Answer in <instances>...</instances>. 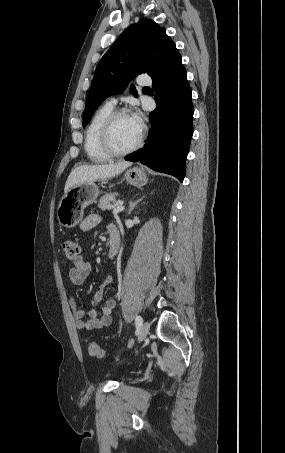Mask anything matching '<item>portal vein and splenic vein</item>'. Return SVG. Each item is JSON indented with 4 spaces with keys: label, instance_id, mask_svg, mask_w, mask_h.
I'll return each mask as SVG.
<instances>
[{
    "label": "portal vein and splenic vein",
    "instance_id": "obj_1",
    "mask_svg": "<svg viewBox=\"0 0 285 453\" xmlns=\"http://www.w3.org/2000/svg\"><path fill=\"white\" fill-rule=\"evenodd\" d=\"M123 210H124V206H122V203L120 202V203L113 209V213L116 214V213L122 212Z\"/></svg>",
    "mask_w": 285,
    "mask_h": 453
}]
</instances>
